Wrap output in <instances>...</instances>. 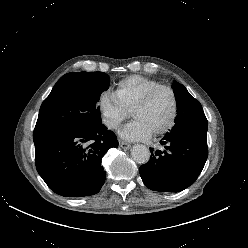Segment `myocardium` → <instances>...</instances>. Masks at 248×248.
Returning a JSON list of instances; mask_svg holds the SVG:
<instances>
[{"label":"myocardium","mask_w":248,"mask_h":248,"mask_svg":"<svg viewBox=\"0 0 248 248\" xmlns=\"http://www.w3.org/2000/svg\"><path fill=\"white\" fill-rule=\"evenodd\" d=\"M160 90H167L171 94L172 113L166 125H164L162 128L153 132L152 133L153 136H159V135L167 133L173 128L176 122V119L178 116V97H177L175 90L171 86H168V85H158L150 89L149 91H147L130 109V114H131L134 110L145 107L150 102L152 97Z\"/></svg>","instance_id":"obj_1"}]
</instances>
